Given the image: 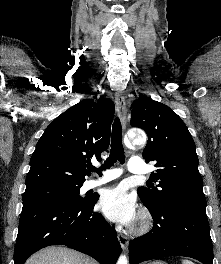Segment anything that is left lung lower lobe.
<instances>
[{"label":"left lung lower lobe","mask_w":221,"mask_h":264,"mask_svg":"<svg viewBox=\"0 0 221 264\" xmlns=\"http://www.w3.org/2000/svg\"><path fill=\"white\" fill-rule=\"evenodd\" d=\"M148 209L154 226L130 242V264L167 256H186L213 264L205 207L169 203Z\"/></svg>","instance_id":"0a47b994"}]
</instances>
